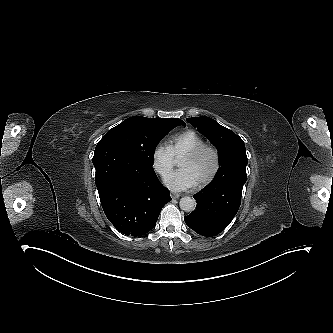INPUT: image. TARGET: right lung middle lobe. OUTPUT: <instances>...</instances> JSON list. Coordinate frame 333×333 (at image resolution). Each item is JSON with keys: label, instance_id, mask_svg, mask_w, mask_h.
<instances>
[{"label": "right lung middle lobe", "instance_id": "dd1d6c3e", "mask_svg": "<svg viewBox=\"0 0 333 333\" xmlns=\"http://www.w3.org/2000/svg\"><path fill=\"white\" fill-rule=\"evenodd\" d=\"M185 122L176 118L133 116L110 129L101 140L111 139L127 148L147 168L153 166L157 144L168 132Z\"/></svg>", "mask_w": 333, "mask_h": 333}]
</instances>
